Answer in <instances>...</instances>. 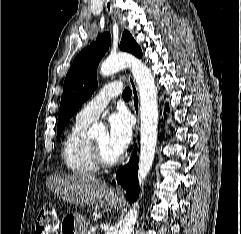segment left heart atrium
Segmentation results:
<instances>
[{"label": "left heart atrium", "instance_id": "39dd6f15", "mask_svg": "<svg viewBox=\"0 0 241 234\" xmlns=\"http://www.w3.org/2000/svg\"><path fill=\"white\" fill-rule=\"evenodd\" d=\"M109 144L114 152L121 154L129 145L132 137V124L124 112H116L108 118Z\"/></svg>", "mask_w": 241, "mask_h": 234}]
</instances>
